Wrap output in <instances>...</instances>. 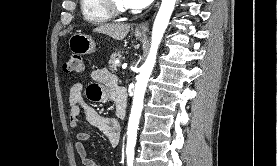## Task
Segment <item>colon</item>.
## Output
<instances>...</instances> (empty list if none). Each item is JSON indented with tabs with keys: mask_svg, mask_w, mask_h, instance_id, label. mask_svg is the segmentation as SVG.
Returning a JSON list of instances; mask_svg holds the SVG:
<instances>
[{
	"mask_svg": "<svg viewBox=\"0 0 277 166\" xmlns=\"http://www.w3.org/2000/svg\"><path fill=\"white\" fill-rule=\"evenodd\" d=\"M66 73L80 74L84 70L83 59L79 54H71L63 65Z\"/></svg>",
	"mask_w": 277,
	"mask_h": 166,
	"instance_id": "1",
	"label": "colon"
}]
</instances>
